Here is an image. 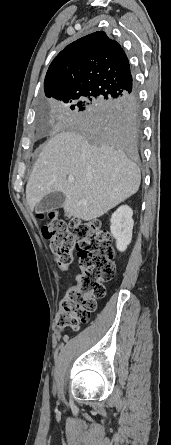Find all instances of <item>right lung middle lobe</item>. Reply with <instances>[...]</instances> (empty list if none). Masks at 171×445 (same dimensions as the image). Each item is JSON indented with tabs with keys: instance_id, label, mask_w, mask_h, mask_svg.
<instances>
[{
	"instance_id": "1",
	"label": "right lung middle lobe",
	"mask_w": 171,
	"mask_h": 445,
	"mask_svg": "<svg viewBox=\"0 0 171 445\" xmlns=\"http://www.w3.org/2000/svg\"><path fill=\"white\" fill-rule=\"evenodd\" d=\"M104 97L99 94L87 91V92H73L68 95H64L57 100L70 105V109L76 110L77 113L74 118L83 124L93 123L94 112L104 102ZM96 135H93V139Z\"/></svg>"
}]
</instances>
